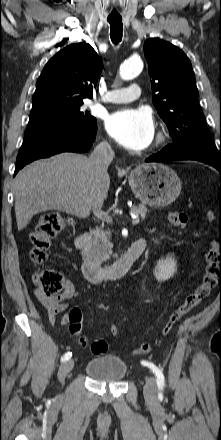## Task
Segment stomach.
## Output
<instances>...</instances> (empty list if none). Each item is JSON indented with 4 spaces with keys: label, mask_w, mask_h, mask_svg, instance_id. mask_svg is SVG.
Returning a JSON list of instances; mask_svg holds the SVG:
<instances>
[{
    "label": "stomach",
    "mask_w": 221,
    "mask_h": 440,
    "mask_svg": "<svg viewBox=\"0 0 221 440\" xmlns=\"http://www.w3.org/2000/svg\"><path fill=\"white\" fill-rule=\"evenodd\" d=\"M128 181L136 198L153 207L170 205L181 192L177 173L161 163L136 166L130 172Z\"/></svg>",
    "instance_id": "stomach-1"
}]
</instances>
